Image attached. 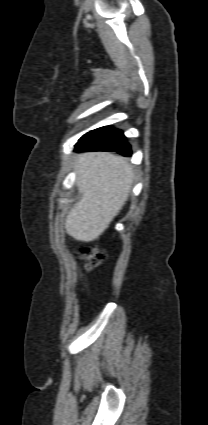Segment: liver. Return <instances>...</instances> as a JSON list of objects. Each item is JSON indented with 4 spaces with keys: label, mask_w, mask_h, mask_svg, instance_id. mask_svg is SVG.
<instances>
[{
    "label": "liver",
    "mask_w": 208,
    "mask_h": 425,
    "mask_svg": "<svg viewBox=\"0 0 208 425\" xmlns=\"http://www.w3.org/2000/svg\"><path fill=\"white\" fill-rule=\"evenodd\" d=\"M75 170L82 198L66 216L65 228L75 240L91 242L102 235L128 200L133 167L126 158L90 152L78 157Z\"/></svg>",
    "instance_id": "6515ba94"
}]
</instances>
